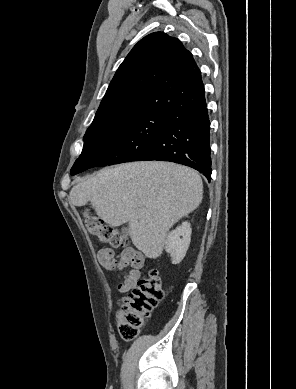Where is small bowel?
<instances>
[{
	"instance_id": "small-bowel-1",
	"label": "small bowel",
	"mask_w": 296,
	"mask_h": 389,
	"mask_svg": "<svg viewBox=\"0 0 296 389\" xmlns=\"http://www.w3.org/2000/svg\"><path fill=\"white\" fill-rule=\"evenodd\" d=\"M98 259L107 270L129 266V272L118 285V289L124 293L135 287L140 277V270L144 264V258L139 252L131 247L124 248L119 255V259L116 260L112 250L102 249L98 253Z\"/></svg>"
}]
</instances>
